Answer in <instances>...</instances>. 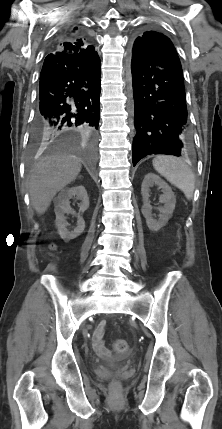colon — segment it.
<instances>
[{
	"label": "colon",
	"instance_id": "colon-1",
	"mask_svg": "<svg viewBox=\"0 0 222 429\" xmlns=\"http://www.w3.org/2000/svg\"><path fill=\"white\" fill-rule=\"evenodd\" d=\"M112 346H113V349L115 351L120 352V353L127 352L129 350V348H130L129 343L126 340H123V339L115 340L113 342ZM113 386L117 387L118 383L114 382Z\"/></svg>",
	"mask_w": 222,
	"mask_h": 429
}]
</instances>
